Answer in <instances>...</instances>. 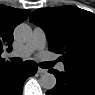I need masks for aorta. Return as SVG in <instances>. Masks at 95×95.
<instances>
[{"mask_svg":"<svg viewBox=\"0 0 95 95\" xmlns=\"http://www.w3.org/2000/svg\"><path fill=\"white\" fill-rule=\"evenodd\" d=\"M14 37L21 42L29 41L32 37L31 27L25 23L19 24L14 30ZM39 83L42 88L51 90L56 85V77L51 73H44L41 75Z\"/></svg>","mask_w":95,"mask_h":95,"instance_id":"obj_1","label":"aorta"}]
</instances>
